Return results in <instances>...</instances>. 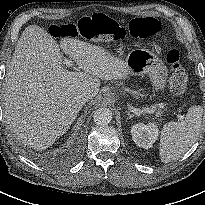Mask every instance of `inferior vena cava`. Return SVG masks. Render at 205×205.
Instances as JSON below:
<instances>
[{"label": "inferior vena cava", "instance_id": "inferior-vena-cava-1", "mask_svg": "<svg viewBox=\"0 0 205 205\" xmlns=\"http://www.w3.org/2000/svg\"><path fill=\"white\" fill-rule=\"evenodd\" d=\"M90 98L91 96L88 93L81 92L75 96V101L79 105H84Z\"/></svg>", "mask_w": 205, "mask_h": 205}]
</instances>
